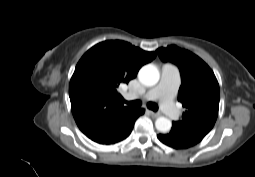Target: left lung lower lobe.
Returning a JSON list of instances; mask_svg holds the SVG:
<instances>
[{"label": "left lung lower lobe", "instance_id": "1", "mask_svg": "<svg viewBox=\"0 0 255 177\" xmlns=\"http://www.w3.org/2000/svg\"><path fill=\"white\" fill-rule=\"evenodd\" d=\"M157 137L161 142L175 149H186L202 140V138L191 135L174 124L169 133L159 134Z\"/></svg>", "mask_w": 255, "mask_h": 177}]
</instances>
